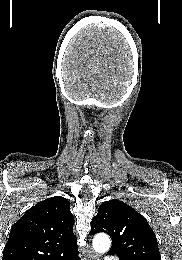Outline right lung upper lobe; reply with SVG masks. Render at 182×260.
I'll return each instance as SVG.
<instances>
[{"instance_id":"obj_1","label":"right lung upper lobe","mask_w":182,"mask_h":260,"mask_svg":"<svg viewBox=\"0 0 182 260\" xmlns=\"http://www.w3.org/2000/svg\"><path fill=\"white\" fill-rule=\"evenodd\" d=\"M70 202L51 197L31 207L11 228L3 260H56L77 252Z\"/></svg>"}]
</instances>
